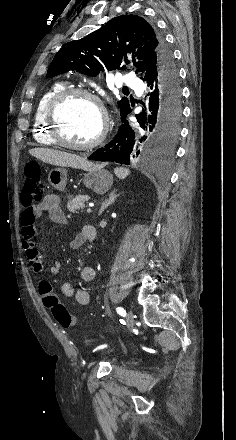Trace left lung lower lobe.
<instances>
[{
	"mask_svg": "<svg viewBox=\"0 0 236 440\" xmlns=\"http://www.w3.org/2000/svg\"><path fill=\"white\" fill-rule=\"evenodd\" d=\"M151 91L141 113L136 115L139 128L125 120L131 108L121 115L122 125L114 139L96 150L90 160L130 164V160L147 154L167 151L179 132L182 116L181 88L173 57L150 63L142 77Z\"/></svg>",
	"mask_w": 236,
	"mask_h": 440,
	"instance_id": "left-lung-lower-lobe-1",
	"label": "left lung lower lobe"
}]
</instances>
